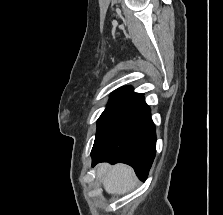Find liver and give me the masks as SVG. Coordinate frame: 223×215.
<instances>
[{"label":"liver","instance_id":"liver-1","mask_svg":"<svg viewBox=\"0 0 223 215\" xmlns=\"http://www.w3.org/2000/svg\"><path fill=\"white\" fill-rule=\"evenodd\" d=\"M97 177L102 179V183L108 193H126L133 189L137 179L134 177L132 167L117 163H100L97 167Z\"/></svg>","mask_w":223,"mask_h":215}]
</instances>
